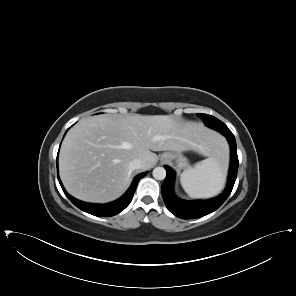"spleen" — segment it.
<instances>
[{
  "mask_svg": "<svg viewBox=\"0 0 296 296\" xmlns=\"http://www.w3.org/2000/svg\"><path fill=\"white\" fill-rule=\"evenodd\" d=\"M228 168L225 143H219L216 152L203 161L188 167L180 175L184 191L192 198H210L224 187Z\"/></svg>",
  "mask_w": 296,
  "mask_h": 296,
  "instance_id": "spleen-1",
  "label": "spleen"
}]
</instances>
